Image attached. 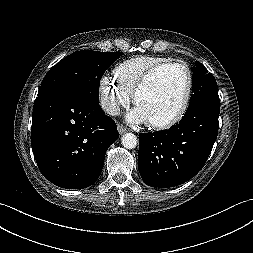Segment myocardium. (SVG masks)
Instances as JSON below:
<instances>
[{
	"mask_svg": "<svg viewBox=\"0 0 253 253\" xmlns=\"http://www.w3.org/2000/svg\"><path fill=\"white\" fill-rule=\"evenodd\" d=\"M171 67H179L182 68L186 74V90L185 94L183 97L182 105L178 112L174 114L172 117L163 120V121H150L148 122V125L154 129H168L176 124H178L186 115L191 97H192V92H193V84H194V79H193V72L190 68V66L181 60L177 61H168L159 65H156L149 69L143 77L140 79L138 84L136 85L134 92H133V102L136 104L139 95L141 92L148 86V84L152 81V79L161 71L171 68Z\"/></svg>",
	"mask_w": 253,
	"mask_h": 253,
	"instance_id": "myocardium-1",
	"label": "myocardium"
}]
</instances>
